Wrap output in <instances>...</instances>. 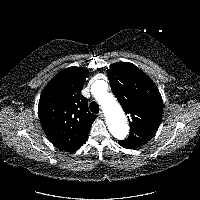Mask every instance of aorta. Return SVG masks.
<instances>
[{"instance_id": "1", "label": "aorta", "mask_w": 200, "mask_h": 200, "mask_svg": "<svg viewBox=\"0 0 200 200\" xmlns=\"http://www.w3.org/2000/svg\"><path fill=\"white\" fill-rule=\"evenodd\" d=\"M107 90L108 85L103 80H97L91 86L92 94L98 100L106 115L109 131L115 138L123 140L129 131L127 120L116 98Z\"/></svg>"}]
</instances>
